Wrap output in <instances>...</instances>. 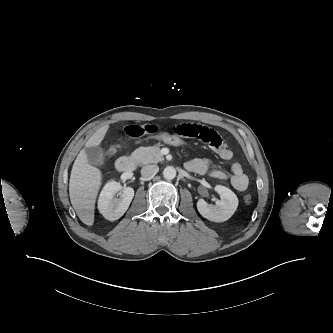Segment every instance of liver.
Instances as JSON below:
<instances>
[{
	"mask_svg": "<svg viewBox=\"0 0 333 333\" xmlns=\"http://www.w3.org/2000/svg\"><path fill=\"white\" fill-rule=\"evenodd\" d=\"M109 125L100 127L86 142L85 148L99 146L104 139ZM82 149L76 157L69 180V196L73 208L80 220L92 226L94 223L95 201L102 184V173L88 163Z\"/></svg>",
	"mask_w": 333,
	"mask_h": 333,
	"instance_id": "obj_1",
	"label": "liver"
}]
</instances>
